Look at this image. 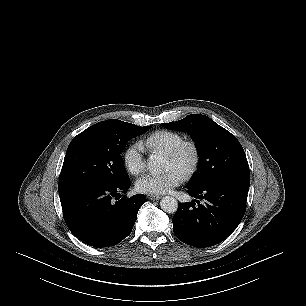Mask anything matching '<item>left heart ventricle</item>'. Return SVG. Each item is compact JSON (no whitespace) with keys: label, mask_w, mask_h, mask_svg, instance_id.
<instances>
[{"label":"left heart ventricle","mask_w":306,"mask_h":306,"mask_svg":"<svg viewBox=\"0 0 306 306\" xmlns=\"http://www.w3.org/2000/svg\"><path fill=\"white\" fill-rule=\"evenodd\" d=\"M190 162H191V155L189 153H185L179 161H174L167 157L166 168L167 170L176 169L180 173L184 174Z\"/></svg>","instance_id":"obj_1"}]
</instances>
